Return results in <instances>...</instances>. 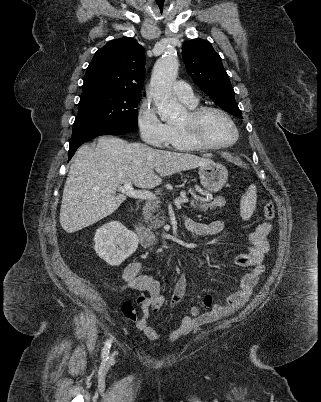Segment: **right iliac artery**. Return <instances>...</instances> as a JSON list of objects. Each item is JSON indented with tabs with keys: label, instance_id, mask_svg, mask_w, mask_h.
<instances>
[{
	"label": "right iliac artery",
	"instance_id": "82829eb1",
	"mask_svg": "<svg viewBox=\"0 0 321 402\" xmlns=\"http://www.w3.org/2000/svg\"><path fill=\"white\" fill-rule=\"evenodd\" d=\"M111 344H112V338L107 339V341L105 342V345H104V347H103V350H102V358H103V360H105V361H106V360L108 359V357H109V350H110Z\"/></svg>",
	"mask_w": 321,
	"mask_h": 402
}]
</instances>
